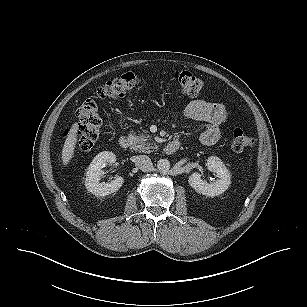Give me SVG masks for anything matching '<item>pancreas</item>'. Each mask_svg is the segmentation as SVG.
Returning <instances> with one entry per match:
<instances>
[{
	"label": "pancreas",
	"instance_id": "obj_1",
	"mask_svg": "<svg viewBox=\"0 0 307 307\" xmlns=\"http://www.w3.org/2000/svg\"><path fill=\"white\" fill-rule=\"evenodd\" d=\"M130 137L134 138L133 149L138 152L151 153L158 146L154 141L150 140L149 135L139 134L138 136L130 134Z\"/></svg>",
	"mask_w": 307,
	"mask_h": 307
}]
</instances>
